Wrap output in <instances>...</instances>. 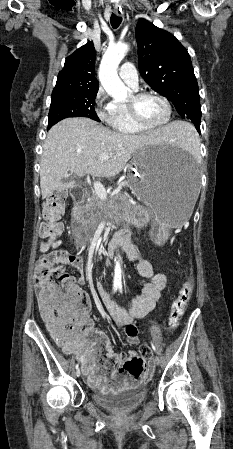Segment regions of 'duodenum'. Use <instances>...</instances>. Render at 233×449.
I'll return each instance as SVG.
<instances>
[{
    "label": "duodenum",
    "mask_w": 233,
    "mask_h": 449,
    "mask_svg": "<svg viewBox=\"0 0 233 449\" xmlns=\"http://www.w3.org/2000/svg\"><path fill=\"white\" fill-rule=\"evenodd\" d=\"M72 196L74 199V215L79 213V207L85 201L87 193L82 186H75L73 188ZM117 249H122L131 254L134 252L128 234L125 230L116 233L107 246V255L112 256Z\"/></svg>",
    "instance_id": "1"
}]
</instances>
